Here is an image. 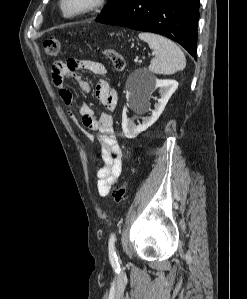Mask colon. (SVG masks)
I'll list each match as a JSON object with an SVG mask.
<instances>
[{"label":"colon","mask_w":247,"mask_h":299,"mask_svg":"<svg viewBox=\"0 0 247 299\" xmlns=\"http://www.w3.org/2000/svg\"><path fill=\"white\" fill-rule=\"evenodd\" d=\"M43 48L46 54L56 56L60 52V42L55 38L46 39L43 42ZM102 54L107 57L116 71H123L126 66L125 58L121 53L113 49L102 50ZM127 183L123 182L113 190L112 196L116 203H123L126 200Z\"/></svg>","instance_id":"obj_1"}]
</instances>
